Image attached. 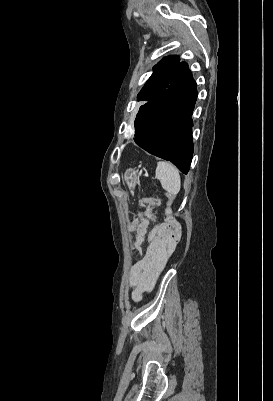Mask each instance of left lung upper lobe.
I'll return each mask as SVG.
<instances>
[{
  "label": "left lung upper lobe",
  "mask_w": 273,
  "mask_h": 401,
  "mask_svg": "<svg viewBox=\"0 0 273 401\" xmlns=\"http://www.w3.org/2000/svg\"><path fill=\"white\" fill-rule=\"evenodd\" d=\"M180 58L176 55L163 58L153 68V74L137 96L138 101L148 102L165 91L172 79V75L181 64Z\"/></svg>",
  "instance_id": "5c2ea615"
}]
</instances>
